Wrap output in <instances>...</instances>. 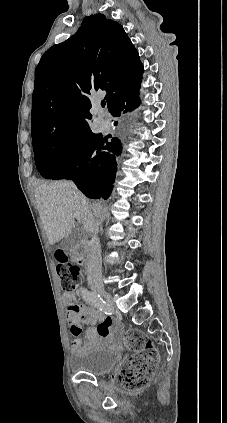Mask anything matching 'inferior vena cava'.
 Returning a JSON list of instances; mask_svg holds the SVG:
<instances>
[{
    "label": "inferior vena cava",
    "mask_w": 227,
    "mask_h": 423,
    "mask_svg": "<svg viewBox=\"0 0 227 423\" xmlns=\"http://www.w3.org/2000/svg\"><path fill=\"white\" fill-rule=\"evenodd\" d=\"M84 208V225L88 227L90 233V245H89V267H88V281L93 283V281H100L102 277V257H101V247L100 239L97 235V229H94L93 225H96L95 215H93L90 210L86 200H82Z\"/></svg>",
    "instance_id": "inferior-vena-cava-1"
}]
</instances>
